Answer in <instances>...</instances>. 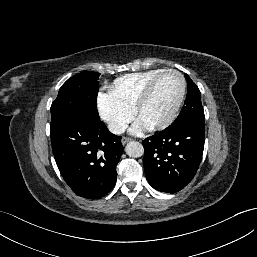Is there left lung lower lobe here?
<instances>
[{
	"label": "left lung lower lobe",
	"mask_w": 257,
	"mask_h": 257,
	"mask_svg": "<svg viewBox=\"0 0 257 257\" xmlns=\"http://www.w3.org/2000/svg\"><path fill=\"white\" fill-rule=\"evenodd\" d=\"M204 141V119L172 123L143 140V166L149 184L166 193L182 190L198 170Z\"/></svg>",
	"instance_id": "obj_1"
}]
</instances>
